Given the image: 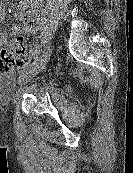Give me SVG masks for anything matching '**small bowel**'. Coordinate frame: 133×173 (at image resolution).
Listing matches in <instances>:
<instances>
[{"instance_id":"small-bowel-1","label":"small bowel","mask_w":133,"mask_h":173,"mask_svg":"<svg viewBox=\"0 0 133 173\" xmlns=\"http://www.w3.org/2000/svg\"><path fill=\"white\" fill-rule=\"evenodd\" d=\"M42 0H23L20 3L21 9H27V18L19 17L23 20L22 25L15 26L11 29V34L18 35L25 46V38L31 36L37 30L40 19V8ZM4 17L3 11H0V22ZM6 42L3 36H0V45Z\"/></svg>"}]
</instances>
